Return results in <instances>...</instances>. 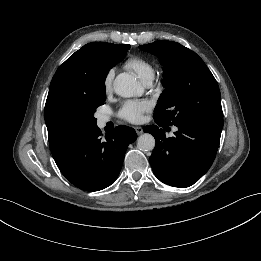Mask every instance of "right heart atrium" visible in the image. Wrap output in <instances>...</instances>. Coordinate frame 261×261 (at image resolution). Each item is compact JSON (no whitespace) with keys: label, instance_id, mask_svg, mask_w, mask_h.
I'll list each match as a JSON object with an SVG mask.
<instances>
[{"label":"right heart atrium","instance_id":"obj_1","mask_svg":"<svg viewBox=\"0 0 261 261\" xmlns=\"http://www.w3.org/2000/svg\"><path fill=\"white\" fill-rule=\"evenodd\" d=\"M113 78H114V70L110 69L107 71L103 79V86L106 92H109L111 90Z\"/></svg>","mask_w":261,"mask_h":261}]
</instances>
